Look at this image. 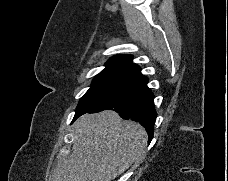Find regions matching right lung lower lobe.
<instances>
[{"label":"right lung lower lobe","instance_id":"right-lung-lower-lobe-1","mask_svg":"<svg viewBox=\"0 0 228 181\" xmlns=\"http://www.w3.org/2000/svg\"><path fill=\"white\" fill-rule=\"evenodd\" d=\"M147 82V77L143 75L132 80L116 97L105 104L78 113L74 119L85 113L114 110L124 119H131L143 125L151 141L157 113L154 108V95L147 87Z\"/></svg>","mask_w":228,"mask_h":181}]
</instances>
